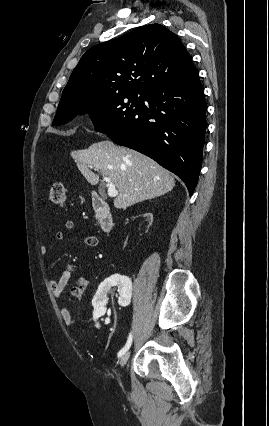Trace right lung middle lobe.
I'll return each mask as SVG.
<instances>
[{"label": "right lung middle lobe", "mask_w": 269, "mask_h": 426, "mask_svg": "<svg viewBox=\"0 0 269 426\" xmlns=\"http://www.w3.org/2000/svg\"><path fill=\"white\" fill-rule=\"evenodd\" d=\"M145 93L120 92L92 97L61 98L53 125H63L76 115L91 114L95 130L102 133L117 128L144 105Z\"/></svg>", "instance_id": "dd1d6c3e"}]
</instances>
